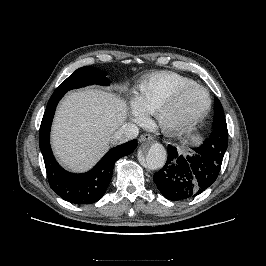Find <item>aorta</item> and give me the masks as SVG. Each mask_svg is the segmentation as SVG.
Here are the masks:
<instances>
[{
	"label": "aorta",
	"mask_w": 266,
	"mask_h": 266,
	"mask_svg": "<svg viewBox=\"0 0 266 266\" xmlns=\"http://www.w3.org/2000/svg\"><path fill=\"white\" fill-rule=\"evenodd\" d=\"M167 153L164 146L160 143L150 145L145 153V164L151 170H157L165 165Z\"/></svg>",
	"instance_id": "aorta-1"
}]
</instances>
